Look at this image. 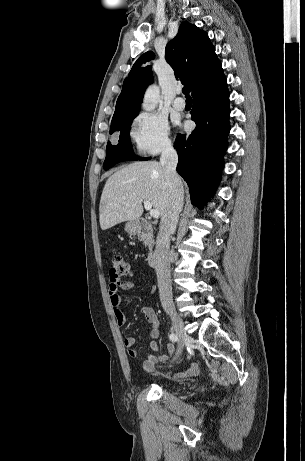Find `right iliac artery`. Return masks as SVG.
Returning a JSON list of instances; mask_svg holds the SVG:
<instances>
[{
  "label": "right iliac artery",
  "instance_id": "82829eb1",
  "mask_svg": "<svg viewBox=\"0 0 305 461\" xmlns=\"http://www.w3.org/2000/svg\"><path fill=\"white\" fill-rule=\"evenodd\" d=\"M169 339H170L171 341H173V342H176V341H178V336H177V334H175V333H171V334L169 335Z\"/></svg>",
  "mask_w": 305,
  "mask_h": 461
}]
</instances>
